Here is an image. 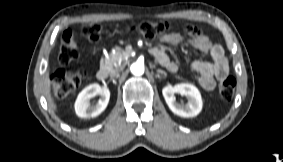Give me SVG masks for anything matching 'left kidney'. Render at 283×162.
Segmentation results:
<instances>
[{
	"label": "left kidney",
	"mask_w": 283,
	"mask_h": 162,
	"mask_svg": "<svg viewBox=\"0 0 283 162\" xmlns=\"http://www.w3.org/2000/svg\"><path fill=\"white\" fill-rule=\"evenodd\" d=\"M181 94L187 97V104L176 102L174 94ZM162 94L169 109L176 115L189 118L197 116L202 110V98L199 90L192 84L180 83L175 86H165Z\"/></svg>",
	"instance_id": "1"
}]
</instances>
